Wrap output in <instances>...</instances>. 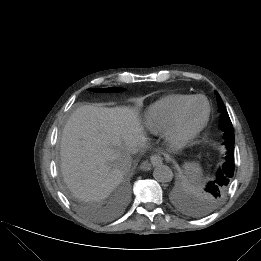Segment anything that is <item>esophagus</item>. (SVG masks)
<instances>
[{
    "label": "esophagus",
    "instance_id": "1",
    "mask_svg": "<svg viewBox=\"0 0 261 261\" xmlns=\"http://www.w3.org/2000/svg\"><path fill=\"white\" fill-rule=\"evenodd\" d=\"M150 162L153 166H158L163 163V158L160 155L156 154L151 156Z\"/></svg>",
    "mask_w": 261,
    "mask_h": 261
}]
</instances>
